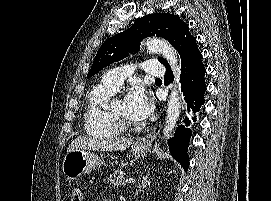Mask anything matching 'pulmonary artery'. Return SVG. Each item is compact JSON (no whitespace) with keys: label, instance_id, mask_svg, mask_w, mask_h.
I'll return each mask as SVG.
<instances>
[{"label":"pulmonary artery","instance_id":"obj_1","mask_svg":"<svg viewBox=\"0 0 271 201\" xmlns=\"http://www.w3.org/2000/svg\"><path fill=\"white\" fill-rule=\"evenodd\" d=\"M143 68L148 74L153 76H163L165 74L164 66L160 61L154 58H149L144 61ZM133 72L134 67L132 66L114 68L103 75L101 85L117 90L126 77L132 75Z\"/></svg>","mask_w":271,"mask_h":201}]
</instances>
